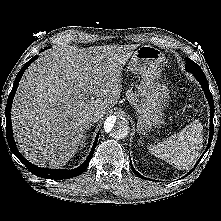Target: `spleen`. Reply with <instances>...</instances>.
Wrapping results in <instances>:
<instances>
[{"mask_svg":"<svg viewBox=\"0 0 221 221\" xmlns=\"http://www.w3.org/2000/svg\"><path fill=\"white\" fill-rule=\"evenodd\" d=\"M203 127L200 122L193 121L179 133L169 137L166 143L149 145V152L175 168L187 170L196 161L202 148Z\"/></svg>","mask_w":221,"mask_h":221,"instance_id":"3e777b00","label":"spleen"}]
</instances>
